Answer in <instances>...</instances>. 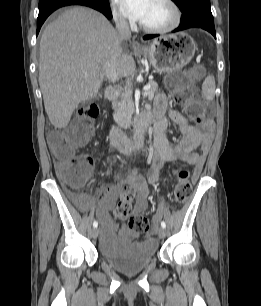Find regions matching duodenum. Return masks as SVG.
Wrapping results in <instances>:
<instances>
[{"label":"duodenum","mask_w":261,"mask_h":306,"mask_svg":"<svg viewBox=\"0 0 261 306\" xmlns=\"http://www.w3.org/2000/svg\"><path fill=\"white\" fill-rule=\"evenodd\" d=\"M106 98L113 101L117 98V91L109 88L106 91ZM155 121L151 113H143L137 116L132 123L133 137L128 138L127 135L118 127H112L110 130L111 144L122 153H131L138 149L144 143V137L148 126Z\"/></svg>","instance_id":"duodenum-1"}]
</instances>
